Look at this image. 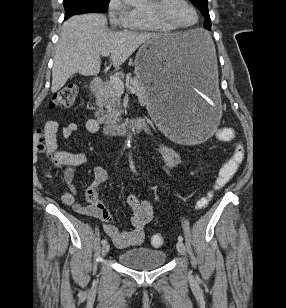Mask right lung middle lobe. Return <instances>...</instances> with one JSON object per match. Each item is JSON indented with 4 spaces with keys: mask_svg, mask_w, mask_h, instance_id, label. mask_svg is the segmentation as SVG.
I'll list each match as a JSON object with an SVG mask.
<instances>
[{
    "mask_svg": "<svg viewBox=\"0 0 286 308\" xmlns=\"http://www.w3.org/2000/svg\"><path fill=\"white\" fill-rule=\"evenodd\" d=\"M110 0H63L65 19L81 13H103Z\"/></svg>",
    "mask_w": 286,
    "mask_h": 308,
    "instance_id": "1",
    "label": "right lung middle lobe"
}]
</instances>
